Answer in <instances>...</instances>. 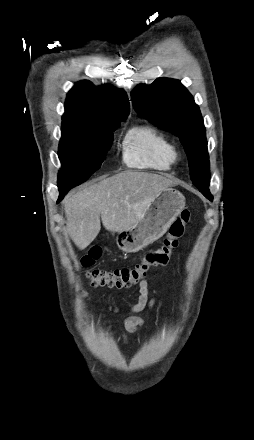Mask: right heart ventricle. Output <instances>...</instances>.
<instances>
[{"mask_svg":"<svg viewBox=\"0 0 254 440\" xmlns=\"http://www.w3.org/2000/svg\"><path fill=\"white\" fill-rule=\"evenodd\" d=\"M122 157L130 168L169 170L177 153L172 140L151 125H137L129 129L122 143Z\"/></svg>","mask_w":254,"mask_h":440,"instance_id":"right-heart-ventricle-1","label":"right heart ventricle"}]
</instances>
